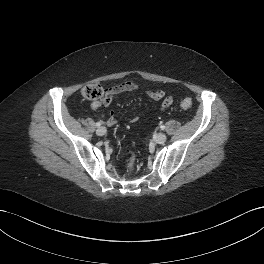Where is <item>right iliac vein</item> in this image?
I'll list each match as a JSON object with an SVG mask.
<instances>
[{
  "mask_svg": "<svg viewBox=\"0 0 264 264\" xmlns=\"http://www.w3.org/2000/svg\"><path fill=\"white\" fill-rule=\"evenodd\" d=\"M96 134L99 135V136H103L106 134V128L105 127H99L97 130H96Z\"/></svg>",
  "mask_w": 264,
  "mask_h": 264,
  "instance_id": "right-iliac-vein-1",
  "label": "right iliac vein"
}]
</instances>
